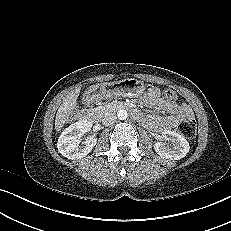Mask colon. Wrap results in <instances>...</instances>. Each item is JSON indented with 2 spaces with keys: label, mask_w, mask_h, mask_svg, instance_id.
I'll use <instances>...</instances> for the list:
<instances>
[{
  "label": "colon",
  "mask_w": 231,
  "mask_h": 231,
  "mask_svg": "<svg viewBox=\"0 0 231 231\" xmlns=\"http://www.w3.org/2000/svg\"><path fill=\"white\" fill-rule=\"evenodd\" d=\"M164 94L169 100L176 101L177 99V94L173 89H166ZM178 130L183 137L187 139H193L196 136L197 132L196 123L193 119L184 120L179 124Z\"/></svg>",
  "instance_id": "colon-1"
}]
</instances>
